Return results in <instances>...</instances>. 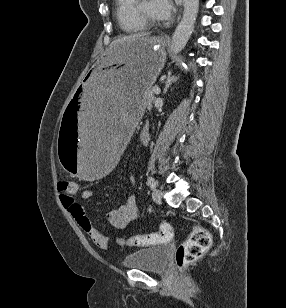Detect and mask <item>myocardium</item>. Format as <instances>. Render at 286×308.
I'll return each mask as SVG.
<instances>
[{"instance_id":"myocardium-1","label":"myocardium","mask_w":286,"mask_h":308,"mask_svg":"<svg viewBox=\"0 0 286 308\" xmlns=\"http://www.w3.org/2000/svg\"><path fill=\"white\" fill-rule=\"evenodd\" d=\"M134 11L137 16V18L146 26V27H152L158 24L157 20H152L149 17H147L145 14H143L140 10L139 2L135 4Z\"/></svg>"}]
</instances>
